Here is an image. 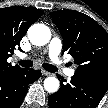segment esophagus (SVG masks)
<instances>
[{
    "label": "esophagus",
    "instance_id": "34e87169",
    "mask_svg": "<svg viewBox=\"0 0 108 108\" xmlns=\"http://www.w3.org/2000/svg\"><path fill=\"white\" fill-rule=\"evenodd\" d=\"M42 74L45 76H51L52 75V73L45 71V70H42Z\"/></svg>",
    "mask_w": 108,
    "mask_h": 108
}]
</instances>
